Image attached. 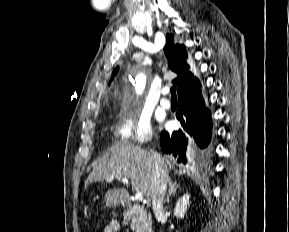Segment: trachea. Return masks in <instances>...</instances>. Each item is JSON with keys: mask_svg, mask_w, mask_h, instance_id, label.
Segmentation results:
<instances>
[{"mask_svg": "<svg viewBox=\"0 0 289 232\" xmlns=\"http://www.w3.org/2000/svg\"><path fill=\"white\" fill-rule=\"evenodd\" d=\"M170 91H171V98H172V99H176V98H177V95H176V86H173Z\"/></svg>", "mask_w": 289, "mask_h": 232, "instance_id": "1", "label": "trachea"}]
</instances>
